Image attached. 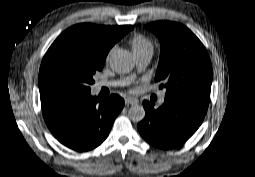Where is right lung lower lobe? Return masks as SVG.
I'll return each instance as SVG.
<instances>
[{
	"label": "right lung lower lobe",
	"instance_id": "obj_1",
	"mask_svg": "<svg viewBox=\"0 0 255 177\" xmlns=\"http://www.w3.org/2000/svg\"><path fill=\"white\" fill-rule=\"evenodd\" d=\"M44 120L65 146L80 152L100 145L124 106L116 94L98 99L90 91L41 97Z\"/></svg>",
	"mask_w": 255,
	"mask_h": 177
}]
</instances>
